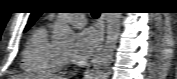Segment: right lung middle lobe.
Masks as SVG:
<instances>
[{
  "label": "right lung middle lobe",
  "instance_id": "1",
  "mask_svg": "<svg viewBox=\"0 0 177 79\" xmlns=\"http://www.w3.org/2000/svg\"><path fill=\"white\" fill-rule=\"evenodd\" d=\"M31 26H26L25 31H27Z\"/></svg>",
  "mask_w": 177,
  "mask_h": 79
}]
</instances>
